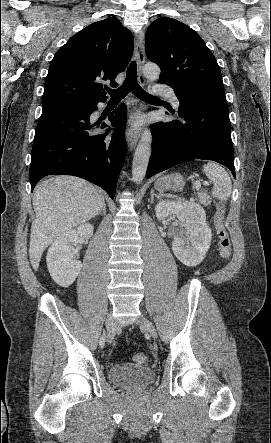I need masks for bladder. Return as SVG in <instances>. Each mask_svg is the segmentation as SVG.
<instances>
[{"label":"bladder","instance_id":"1","mask_svg":"<svg viewBox=\"0 0 271 443\" xmlns=\"http://www.w3.org/2000/svg\"><path fill=\"white\" fill-rule=\"evenodd\" d=\"M154 378V370L147 366L131 363H117L109 369L110 381L123 388H142L149 385Z\"/></svg>","mask_w":271,"mask_h":443}]
</instances>
